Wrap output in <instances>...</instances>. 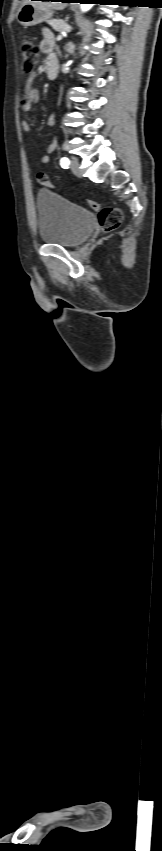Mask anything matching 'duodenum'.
Here are the masks:
<instances>
[{"instance_id":"410a0bca","label":"duodenum","mask_w":162,"mask_h":851,"mask_svg":"<svg viewBox=\"0 0 162 851\" xmlns=\"http://www.w3.org/2000/svg\"><path fill=\"white\" fill-rule=\"evenodd\" d=\"M46 73L50 80H54L58 74V60L49 58L46 60Z\"/></svg>"}]
</instances>
